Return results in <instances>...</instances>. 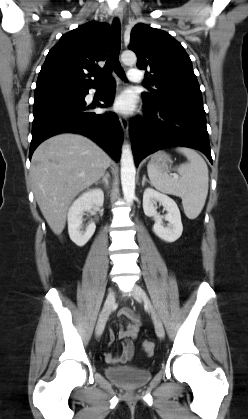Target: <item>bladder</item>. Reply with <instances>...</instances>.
I'll return each instance as SVG.
<instances>
[{
	"instance_id": "31cf9c89",
	"label": "bladder",
	"mask_w": 248,
	"mask_h": 419,
	"mask_svg": "<svg viewBox=\"0 0 248 419\" xmlns=\"http://www.w3.org/2000/svg\"><path fill=\"white\" fill-rule=\"evenodd\" d=\"M105 376L126 389H136L146 385L152 377L150 369L134 366L106 367Z\"/></svg>"
}]
</instances>
